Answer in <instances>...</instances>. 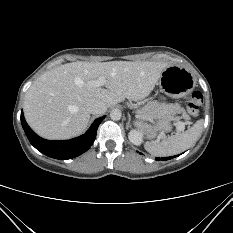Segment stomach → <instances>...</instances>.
<instances>
[{
  "label": "stomach",
  "instance_id": "obj_1",
  "mask_svg": "<svg viewBox=\"0 0 233 233\" xmlns=\"http://www.w3.org/2000/svg\"><path fill=\"white\" fill-rule=\"evenodd\" d=\"M158 84L169 97L181 98L193 90L195 79L186 68L178 65H169L163 70ZM151 107V119L148 120L152 122V125L138 124L147 129L150 138L155 137L159 131H171L172 120L178 119L183 111L179 104L162 105L151 103Z\"/></svg>",
  "mask_w": 233,
  "mask_h": 233
}]
</instances>
